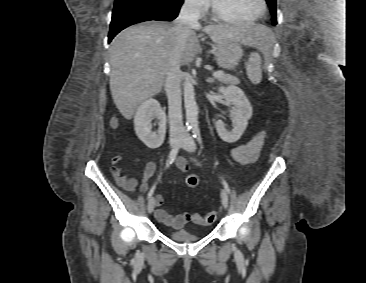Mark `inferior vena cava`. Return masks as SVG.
Returning a JSON list of instances; mask_svg holds the SVG:
<instances>
[{
	"label": "inferior vena cava",
	"mask_w": 366,
	"mask_h": 283,
	"mask_svg": "<svg viewBox=\"0 0 366 283\" xmlns=\"http://www.w3.org/2000/svg\"><path fill=\"white\" fill-rule=\"evenodd\" d=\"M200 10L195 0H185L178 17L174 20L172 30L176 35L175 53L170 58L165 78V89L169 105L170 134L180 133L183 129L181 109V80L180 70L181 49L185 43L186 34L190 29L199 25Z\"/></svg>",
	"instance_id": "602c4592"
}]
</instances>
